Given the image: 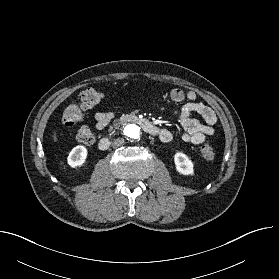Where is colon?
<instances>
[{"mask_svg":"<svg viewBox=\"0 0 279 279\" xmlns=\"http://www.w3.org/2000/svg\"><path fill=\"white\" fill-rule=\"evenodd\" d=\"M103 95L100 91L94 88L83 90L77 101L70 102L64 108L62 114V122L67 127L78 125L84 116V112L93 108L101 102ZM76 139L83 144H91L94 141V136L89 128L80 127L76 133ZM200 155L206 161H211L215 157V151L211 144L204 143L200 147Z\"/></svg>","mask_w":279,"mask_h":279,"instance_id":"colon-1","label":"colon"}]
</instances>
